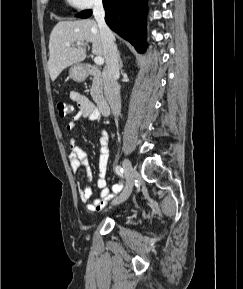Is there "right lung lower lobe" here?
<instances>
[{"label":"right lung lower lobe","instance_id":"right-lung-lower-lobe-1","mask_svg":"<svg viewBox=\"0 0 243 289\" xmlns=\"http://www.w3.org/2000/svg\"><path fill=\"white\" fill-rule=\"evenodd\" d=\"M108 26L129 41L138 52L146 49L147 0H103ZM91 11H82L76 17L88 18Z\"/></svg>","mask_w":243,"mask_h":289}]
</instances>
